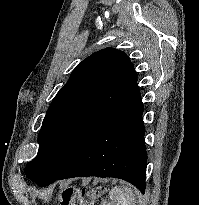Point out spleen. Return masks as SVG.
I'll return each instance as SVG.
<instances>
[{"label":"spleen","mask_w":199,"mask_h":205,"mask_svg":"<svg viewBox=\"0 0 199 205\" xmlns=\"http://www.w3.org/2000/svg\"><path fill=\"white\" fill-rule=\"evenodd\" d=\"M109 196L113 205H135L136 202L133 190L128 187H113Z\"/></svg>","instance_id":"3e777b00"}]
</instances>
